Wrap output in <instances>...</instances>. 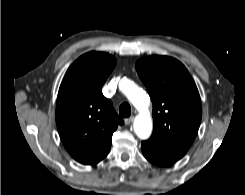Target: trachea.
Segmentation results:
<instances>
[{
  "label": "trachea",
  "instance_id": "1",
  "mask_svg": "<svg viewBox=\"0 0 245 195\" xmlns=\"http://www.w3.org/2000/svg\"><path fill=\"white\" fill-rule=\"evenodd\" d=\"M119 114H120V116H122L124 118L129 117L131 115V107H130L129 103L124 102L120 105Z\"/></svg>",
  "mask_w": 245,
  "mask_h": 195
}]
</instances>
